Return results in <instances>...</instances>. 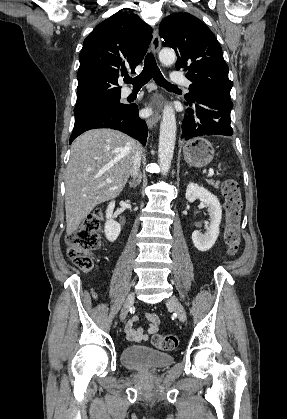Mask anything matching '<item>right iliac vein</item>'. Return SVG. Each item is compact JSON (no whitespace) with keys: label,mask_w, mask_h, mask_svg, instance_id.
<instances>
[{"label":"right iliac vein","mask_w":287,"mask_h":419,"mask_svg":"<svg viewBox=\"0 0 287 419\" xmlns=\"http://www.w3.org/2000/svg\"><path fill=\"white\" fill-rule=\"evenodd\" d=\"M134 300H135L134 293H130L126 298V300L124 302V305L122 307L121 313H120V320L121 321H123L126 318V316L128 315V312L130 310V307L134 303Z\"/></svg>","instance_id":"obj_1"}]
</instances>
